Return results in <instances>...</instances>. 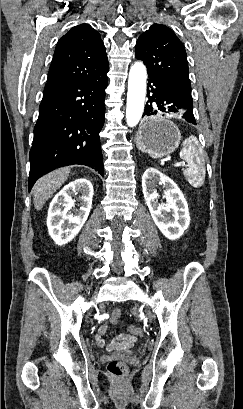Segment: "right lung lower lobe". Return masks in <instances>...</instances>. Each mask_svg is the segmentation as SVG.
I'll return each instance as SVG.
<instances>
[{
	"label": "right lung lower lobe",
	"mask_w": 243,
	"mask_h": 409,
	"mask_svg": "<svg viewBox=\"0 0 243 409\" xmlns=\"http://www.w3.org/2000/svg\"><path fill=\"white\" fill-rule=\"evenodd\" d=\"M108 70L84 81L46 84L29 154L28 191L41 176L72 164L87 165L104 176L99 132Z\"/></svg>",
	"instance_id": "98d812e1"
}]
</instances>
